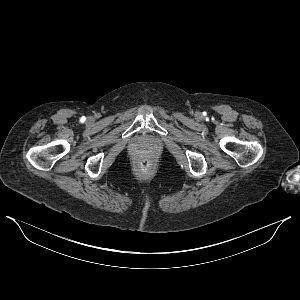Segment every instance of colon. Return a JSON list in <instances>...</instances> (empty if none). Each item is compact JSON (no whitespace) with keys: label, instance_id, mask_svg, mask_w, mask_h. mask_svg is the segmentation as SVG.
Segmentation results:
<instances>
[{"label":"colon","instance_id":"obj_1","mask_svg":"<svg viewBox=\"0 0 300 300\" xmlns=\"http://www.w3.org/2000/svg\"><path fill=\"white\" fill-rule=\"evenodd\" d=\"M137 165L141 171L147 172L153 167V160L149 157H143L138 160Z\"/></svg>","mask_w":300,"mask_h":300}]
</instances>
